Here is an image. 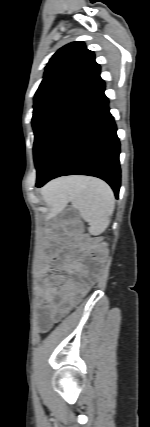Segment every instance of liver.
<instances>
[{"label": "liver", "instance_id": "obj_1", "mask_svg": "<svg viewBox=\"0 0 150 427\" xmlns=\"http://www.w3.org/2000/svg\"><path fill=\"white\" fill-rule=\"evenodd\" d=\"M62 180V179H61ZM58 181H60V180H58ZM46 190V189H45ZM45 190L43 191V194L45 193Z\"/></svg>", "mask_w": 150, "mask_h": 427}]
</instances>
